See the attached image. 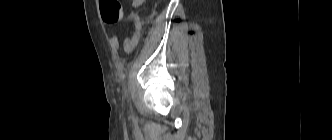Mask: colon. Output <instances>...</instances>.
Listing matches in <instances>:
<instances>
[{"mask_svg":"<svg viewBox=\"0 0 332 140\" xmlns=\"http://www.w3.org/2000/svg\"><path fill=\"white\" fill-rule=\"evenodd\" d=\"M100 10L107 24H116L122 19L123 9L118 0H100Z\"/></svg>","mask_w":332,"mask_h":140,"instance_id":"colon-1","label":"colon"}]
</instances>
